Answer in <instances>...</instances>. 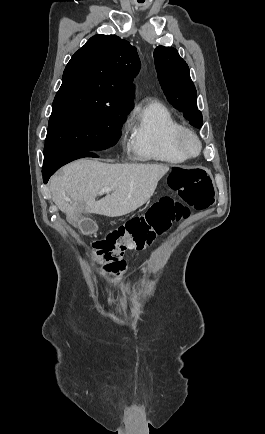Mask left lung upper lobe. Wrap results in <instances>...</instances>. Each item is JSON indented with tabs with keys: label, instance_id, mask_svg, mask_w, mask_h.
Segmentation results:
<instances>
[{
	"label": "left lung upper lobe",
	"instance_id": "1",
	"mask_svg": "<svg viewBox=\"0 0 265 434\" xmlns=\"http://www.w3.org/2000/svg\"><path fill=\"white\" fill-rule=\"evenodd\" d=\"M154 61L160 85L167 100L190 121L202 126V114L197 108L196 89L189 75L187 63L172 47L159 46L154 50Z\"/></svg>",
	"mask_w": 265,
	"mask_h": 434
}]
</instances>
